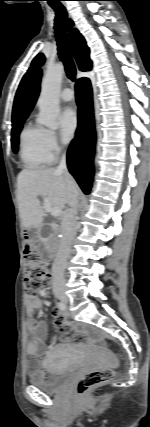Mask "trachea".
<instances>
[{"mask_svg":"<svg viewBox=\"0 0 150 427\" xmlns=\"http://www.w3.org/2000/svg\"><path fill=\"white\" fill-rule=\"evenodd\" d=\"M50 6L55 11V36L58 46V55L60 60L63 62L67 77L71 81H75L76 78V69L73 63V60L70 55L69 47H68V38L66 33V21H70L68 19V15L64 6L60 3H50Z\"/></svg>","mask_w":150,"mask_h":427,"instance_id":"trachea-1","label":"trachea"}]
</instances>
